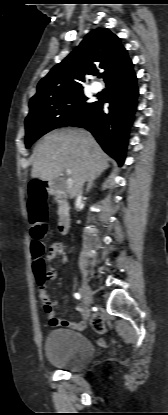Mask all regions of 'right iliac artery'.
Segmentation results:
<instances>
[{
    "mask_svg": "<svg viewBox=\"0 0 168 415\" xmlns=\"http://www.w3.org/2000/svg\"><path fill=\"white\" fill-rule=\"evenodd\" d=\"M74 297H75L76 299H78V300H80V299H81V295H80V293H75V294H74Z\"/></svg>",
    "mask_w": 168,
    "mask_h": 415,
    "instance_id": "82829eb1",
    "label": "right iliac artery"
}]
</instances>
